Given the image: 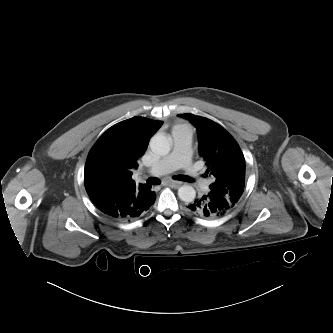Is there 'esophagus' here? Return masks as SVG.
Instances as JSON below:
<instances>
[{"instance_id": "34e87169", "label": "esophagus", "mask_w": 333, "mask_h": 333, "mask_svg": "<svg viewBox=\"0 0 333 333\" xmlns=\"http://www.w3.org/2000/svg\"><path fill=\"white\" fill-rule=\"evenodd\" d=\"M165 186L171 187V188H179L181 183L177 182V181H171V180H167L164 182Z\"/></svg>"}]
</instances>
